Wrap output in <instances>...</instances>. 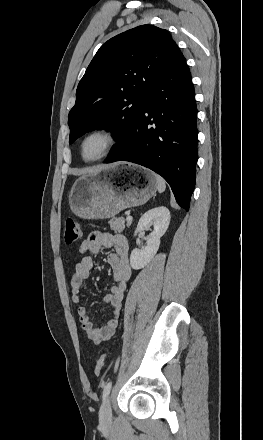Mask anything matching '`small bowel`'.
<instances>
[{"mask_svg":"<svg viewBox=\"0 0 263 440\" xmlns=\"http://www.w3.org/2000/svg\"><path fill=\"white\" fill-rule=\"evenodd\" d=\"M105 248H112L113 251L108 255L107 262L112 270L114 285L108 294L103 297V302L111 308V318L103 326L97 327L91 320L85 306L77 308V314L83 330L87 337L94 343H101L110 339L118 326V321L122 309V301L127 288V283L131 276V267L128 260V242L126 238L119 234L95 231L84 239L79 247L81 253H89L84 256L75 266L71 279V300L78 304L82 300V288L85 281L95 266L92 256L100 254Z\"/></svg>","mask_w":263,"mask_h":440,"instance_id":"obj_1","label":"small bowel"}]
</instances>
